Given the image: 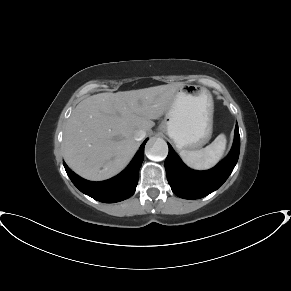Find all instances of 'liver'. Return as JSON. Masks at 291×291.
<instances>
[{"mask_svg": "<svg viewBox=\"0 0 291 291\" xmlns=\"http://www.w3.org/2000/svg\"><path fill=\"white\" fill-rule=\"evenodd\" d=\"M182 85L99 93L82 100L64 131L63 154L68 166L92 181L117 175L139 148L135 132L150 131L155 124L152 120L167 111Z\"/></svg>", "mask_w": 291, "mask_h": 291, "instance_id": "1", "label": "liver"}]
</instances>
